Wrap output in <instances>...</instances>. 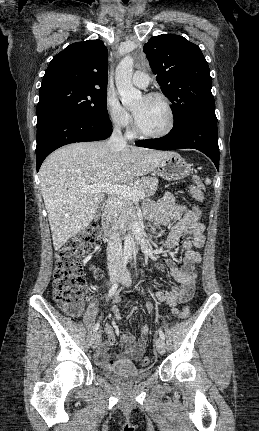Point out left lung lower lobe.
I'll return each instance as SVG.
<instances>
[{"mask_svg": "<svg viewBox=\"0 0 259 431\" xmlns=\"http://www.w3.org/2000/svg\"><path fill=\"white\" fill-rule=\"evenodd\" d=\"M140 147L158 150L183 148L197 149L206 154L219 170V147L217 120L192 116L174 123L172 130L164 137L141 140Z\"/></svg>", "mask_w": 259, "mask_h": 431, "instance_id": "obj_1", "label": "left lung lower lobe"}]
</instances>
